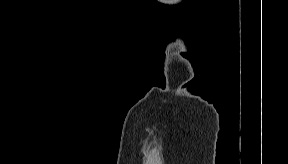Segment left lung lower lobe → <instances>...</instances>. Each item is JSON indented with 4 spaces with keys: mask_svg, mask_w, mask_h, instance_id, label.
Instances as JSON below:
<instances>
[{
    "mask_svg": "<svg viewBox=\"0 0 288 164\" xmlns=\"http://www.w3.org/2000/svg\"><path fill=\"white\" fill-rule=\"evenodd\" d=\"M202 75V89L198 95L209 102L213 101L216 97L217 90L211 87V83L215 80L218 81L217 86L219 89H223L230 85L233 80L234 73L230 69H221L219 73L216 72H204Z\"/></svg>",
    "mask_w": 288,
    "mask_h": 164,
    "instance_id": "1",
    "label": "left lung lower lobe"
}]
</instances>
